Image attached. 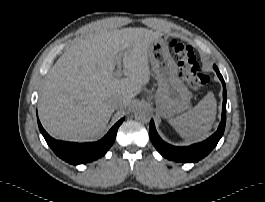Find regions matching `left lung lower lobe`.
Listing matches in <instances>:
<instances>
[{
    "mask_svg": "<svg viewBox=\"0 0 265 202\" xmlns=\"http://www.w3.org/2000/svg\"><path fill=\"white\" fill-rule=\"evenodd\" d=\"M219 79L223 84V107H222V119L219 124L218 130L203 142L193 144L187 147H176L164 142L158 135L153 120L150 122V139L157 149V151L165 158L176 162H198L205 156H207L212 149L217 145L222 137L226 124V87L222 75L218 68L214 65Z\"/></svg>",
    "mask_w": 265,
    "mask_h": 202,
    "instance_id": "1",
    "label": "left lung lower lobe"
}]
</instances>
